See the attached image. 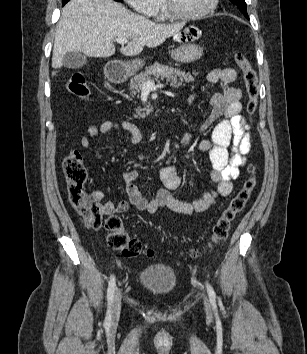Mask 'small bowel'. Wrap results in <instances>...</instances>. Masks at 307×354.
<instances>
[{
    "instance_id": "small-bowel-1",
    "label": "small bowel",
    "mask_w": 307,
    "mask_h": 354,
    "mask_svg": "<svg viewBox=\"0 0 307 354\" xmlns=\"http://www.w3.org/2000/svg\"><path fill=\"white\" fill-rule=\"evenodd\" d=\"M236 78V71L232 68H216L210 71L207 76L211 84L221 86V91L212 96L210 114L201 128L202 131H206L214 124L211 138L202 140L198 148L204 154V160L210 167V178L215 184V188L204 192L194 201H184L177 198L173 191L181 188L182 179L177 173L176 166L170 164L160 171V178L165 189L159 190L155 198L145 199L136 184L139 172L132 169L123 173L128 201H121L118 204L104 203L107 213L125 212L131 204L150 214L155 213L161 207H166L176 213L191 215L206 211L219 198L227 197L231 193L232 180L238 178L240 169L244 166L246 155L250 150L248 125L240 114L242 93L238 87L232 85ZM196 99L197 96L195 95L190 97L188 105L191 106ZM112 130H122L128 133L129 140L132 143H140L144 138L140 129L129 121L106 120L89 126L86 134L81 138L80 144L82 147L88 148L96 136L107 134ZM191 141V135H182L181 143L183 145H189ZM95 157L100 158L99 149H96ZM91 195L100 202L104 197V192L95 189L91 192Z\"/></svg>"
}]
</instances>
